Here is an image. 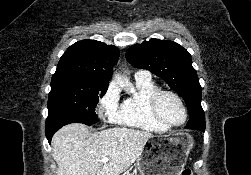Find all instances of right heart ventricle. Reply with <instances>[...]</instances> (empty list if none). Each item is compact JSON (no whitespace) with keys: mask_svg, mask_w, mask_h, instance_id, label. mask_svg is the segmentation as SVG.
Masks as SVG:
<instances>
[{"mask_svg":"<svg viewBox=\"0 0 251 175\" xmlns=\"http://www.w3.org/2000/svg\"><path fill=\"white\" fill-rule=\"evenodd\" d=\"M158 89L152 81L136 80L134 91L123 101L116 121L146 132L167 133L168 130L151 116L147 106L149 97Z\"/></svg>","mask_w":251,"mask_h":175,"instance_id":"1","label":"right heart ventricle"}]
</instances>
